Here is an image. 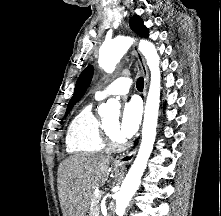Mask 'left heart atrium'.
<instances>
[{
    "label": "left heart atrium",
    "mask_w": 221,
    "mask_h": 216,
    "mask_svg": "<svg viewBox=\"0 0 221 216\" xmlns=\"http://www.w3.org/2000/svg\"><path fill=\"white\" fill-rule=\"evenodd\" d=\"M142 110L140 104L132 100L123 107L119 122L117 123V134L121 139H128L135 135L141 121Z\"/></svg>",
    "instance_id": "obj_1"
}]
</instances>
